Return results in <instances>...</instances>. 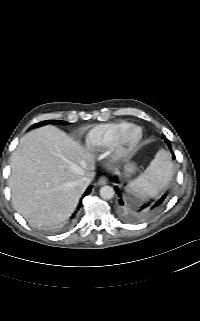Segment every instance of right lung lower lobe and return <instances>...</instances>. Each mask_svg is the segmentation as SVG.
<instances>
[{"instance_id": "1", "label": "right lung lower lobe", "mask_w": 200, "mask_h": 321, "mask_svg": "<svg viewBox=\"0 0 200 321\" xmlns=\"http://www.w3.org/2000/svg\"><path fill=\"white\" fill-rule=\"evenodd\" d=\"M91 186L90 187H88V189L86 190V192H85V194H88V193H90V191H91ZM81 205V202H80V204H79V206ZM74 216V215H73Z\"/></svg>"}]
</instances>
